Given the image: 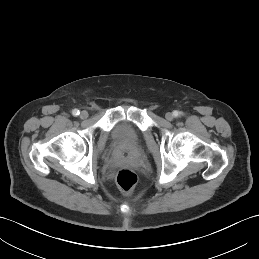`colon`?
Segmentation results:
<instances>
[{
	"instance_id": "5ec220e1",
	"label": "colon",
	"mask_w": 259,
	"mask_h": 259,
	"mask_svg": "<svg viewBox=\"0 0 259 259\" xmlns=\"http://www.w3.org/2000/svg\"><path fill=\"white\" fill-rule=\"evenodd\" d=\"M116 182L121 191L130 193L137 183V177L133 171L122 169L117 174Z\"/></svg>"
}]
</instances>
